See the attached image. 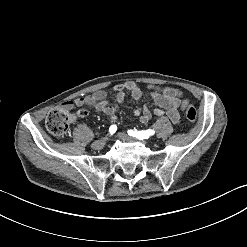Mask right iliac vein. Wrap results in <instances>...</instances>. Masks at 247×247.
I'll return each mask as SVG.
<instances>
[{
	"mask_svg": "<svg viewBox=\"0 0 247 247\" xmlns=\"http://www.w3.org/2000/svg\"><path fill=\"white\" fill-rule=\"evenodd\" d=\"M107 139H108L107 137H104V138H101V139H99V140L93 142V143H92V147H93L94 149H101L102 146H104V144H105V142H106Z\"/></svg>",
	"mask_w": 247,
	"mask_h": 247,
	"instance_id": "obj_1",
	"label": "right iliac vein"
}]
</instances>
